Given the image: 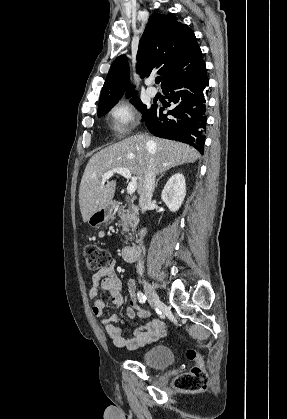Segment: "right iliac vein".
Masks as SVG:
<instances>
[{
    "label": "right iliac vein",
    "mask_w": 287,
    "mask_h": 419,
    "mask_svg": "<svg viewBox=\"0 0 287 419\" xmlns=\"http://www.w3.org/2000/svg\"><path fill=\"white\" fill-rule=\"evenodd\" d=\"M142 284L150 305L152 307H159L161 305V301L152 285L146 279H142Z\"/></svg>",
    "instance_id": "1"
}]
</instances>
